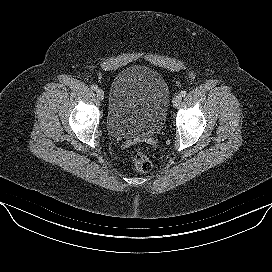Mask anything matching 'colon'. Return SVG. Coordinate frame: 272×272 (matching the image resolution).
Returning a JSON list of instances; mask_svg holds the SVG:
<instances>
[{
  "mask_svg": "<svg viewBox=\"0 0 272 272\" xmlns=\"http://www.w3.org/2000/svg\"><path fill=\"white\" fill-rule=\"evenodd\" d=\"M130 161L133 168L141 173L151 170L152 162L150 158L141 150H134L130 155Z\"/></svg>",
  "mask_w": 272,
  "mask_h": 272,
  "instance_id": "1",
  "label": "colon"
}]
</instances>
